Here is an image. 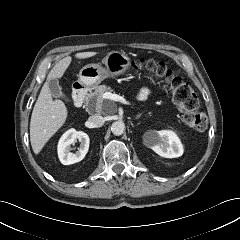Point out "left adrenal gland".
Here are the masks:
<instances>
[{
	"mask_svg": "<svg viewBox=\"0 0 240 240\" xmlns=\"http://www.w3.org/2000/svg\"><path fill=\"white\" fill-rule=\"evenodd\" d=\"M140 117H141V114L137 115V116H136V119H139Z\"/></svg>",
	"mask_w": 240,
	"mask_h": 240,
	"instance_id": "1",
	"label": "left adrenal gland"
}]
</instances>
